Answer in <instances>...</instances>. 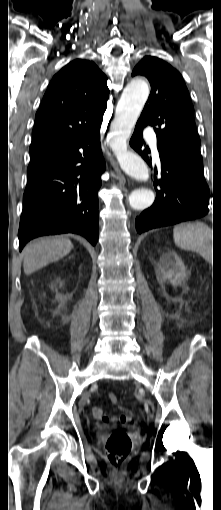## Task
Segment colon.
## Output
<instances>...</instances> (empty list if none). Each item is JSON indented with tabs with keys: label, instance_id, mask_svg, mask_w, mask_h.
Returning a JSON list of instances; mask_svg holds the SVG:
<instances>
[{
	"label": "colon",
	"instance_id": "1",
	"mask_svg": "<svg viewBox=\"0 0 221 510\" xmlns=\"http://www.w3.org/2000/svg\"><path fill=\"white\" fill-rule=\"evenodd\" d=\"M111 403L117 402V397L114 394L109 395ZM120 422L125 424L131 421L129 413L120 416ZM131 450V440L128 434L121 429L114 431L107 439L105 444V453L108 461L115 473H120L124 460Z\"/></svg>",
	"mask_w": 221,
	"mask_h": 510
}]
</instances>
